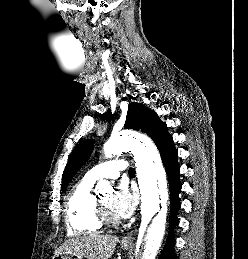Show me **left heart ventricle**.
<instances>
[{
  "mask_svg": "<svg viewBox=\"0 0 248 259\" xmlns=\"http://www.w3.org/2000/svg\"><path fill=\"white\" fill-rule=\"evenodd\" d=\"M112 194H107L105 196L100 197V201L105 205V207L109 210V212L113 215L116 216L115 213L112 210Z\"/></svg>",
  "mask_w": 248,
  "mask_h": 259,
  "instance_id": "1",
  "label": "left heart ventricle"
}]
</instances>
